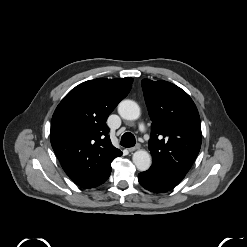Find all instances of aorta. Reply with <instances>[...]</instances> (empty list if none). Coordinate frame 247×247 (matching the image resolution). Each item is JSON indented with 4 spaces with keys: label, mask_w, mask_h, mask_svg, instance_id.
Instances as JSON below:
<instances>
[{
    "label": "aorta",
    "mask_w": 247,
    "mask_h": 247,
    "mask_svg": "<svg viewBox=\"0 0 247 247\" xmlns=\"http://www.w3.org/2000/svg\"><path fill=\"white\" fill-rule=\"evenodd\" d=\"M119 115L126 120H137L140 117V107L132 100H123L118 105ZM134 165L139 171H146L151 166V156L145 150H137L132 156Z\"/></svg>",
    "instance_id": "obj_1"
}]
</instances>
